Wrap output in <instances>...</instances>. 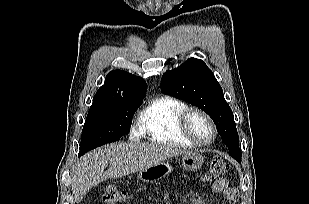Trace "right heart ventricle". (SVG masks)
Returning a JSON list of instances; mask_svg holds the SVG:
<instances>
[{
	"label": "right heart ventricle",
	"instance_id": "e07e8e85",
	"mask_svg": "<svg viewBox=\"0 0 309 204\" xmlns=\"http://www.w3.org/2000/svg\"><path fill=\"white\" fill-rule=\"evenodd\" d=\"M187 104L172 96L151 100L139 113L140 134L153 143L190 147L193 145L179 128V117Z\"/></svg>",
	"mask_w": 309,
	"mask_h": 204
}]
</instances>
